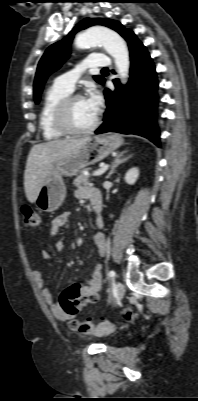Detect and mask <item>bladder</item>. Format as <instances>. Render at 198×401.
I'll use <instances>...</instances> for the list:
<instances>
[{
  "mask_svg": "<svg viewBox=\"0 0 198 401\" xmlns=\"http://www.w3.org/2000/svg\"><path fill=\"white\" fill-rule=\"evenodd\" d=\"M113 331H114L113 328H111V327H106V328H102V329L98 330L97 333L100 334V335H109V334H111Z\"/></svg>",
  "mask_w": 198,
  "mask_h": 401,
  "instance_id": "31cf9c89",
  "label": "bladder"
}]
</instances>
